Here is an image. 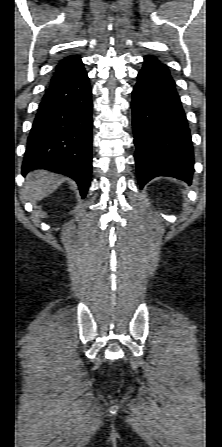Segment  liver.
I'll return each instance as SVG.
<instances>
[{
    "label": "liver",
    "mask_w": 222,
    "mask_h": 447,
    "mask_svg": "<svg viewBox=\"0 0 222 447\" xmlns=\"http://www.w3.org/2000/svg\"><path fill=\"white\" fill-rule=\"evenodd\" d=\"M64 177L44 170L29 173L24 183V191L29 201L35 203L55 191Z\"/></svg>",
    "instance_id": "liver-1"
}]
</instances>
